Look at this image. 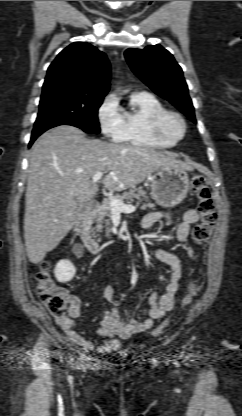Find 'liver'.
Wrapping results in <instances>:
<instances>
[{
    "label": "liver",
    "mask_w": 242,
    "mask_h": 416,
    "mask_svg": "<svg viewBox=\"0 0 242 416\" xmlns=\"http://www.w3.org/2000/svg\"><path fill=\"white\" fill-rule=\"evenodd\" d=\"M165 166L191 169L151 148L88 139L69 125L45 132L34 143L28 166L24 239L29 261L40 263L75 225L81 214L77 201L87 204L98 191L94 174L109 172L102 184L122 191Z\"/></svg>",
    "instance_id": "obj_1"
}]
</instances>
